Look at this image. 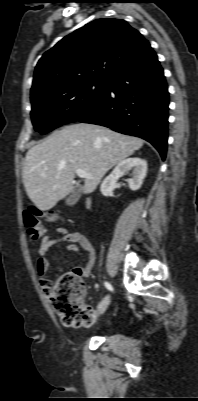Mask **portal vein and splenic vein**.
Segmentation results:
<instances>
[{
    "label": "portal vein and splenic vein",
    "mask_w": 198,
    "mask_h": 401,
    "mask_svg": "<svg viewBox=\"0 0 198 401\" xmlns=\"http://www.w3.org/2000/svg\"><path fill=\"white\" fill-rule=\"evenodd\" d=\"M76 174L80 178H92L91 175L87 174L84 170H81V169H77Z\"/></svg>",
    "instance_id": "18ae733b"
}]
</instances>
